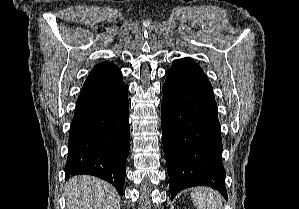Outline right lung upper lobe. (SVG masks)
Masks as SVG:
<instances>
[{
    "label": "right lung upper lobe",
    "mask_w": 299,
    "mask_h": 209,
    "mask_svg": "<svg viewBox=\"0 0 299 209\" xmlns=\"http://www.w3.org/2000/svg\"><path fill=\"white\" fill-rule=\"evenodd\" d=\"M93 69H107L110 71H119L118 68L110 62L100 63V64L96 65Z\"/></svg>",
    "instance_id": "right-lung-upper-lobe-1"
}]
</instances>
